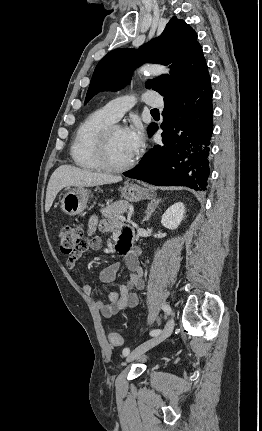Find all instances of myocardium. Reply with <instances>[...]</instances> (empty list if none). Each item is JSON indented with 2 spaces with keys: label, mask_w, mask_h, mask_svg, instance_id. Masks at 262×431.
I'll use <instances>...</instances> for the list:
<instances>
[{
  "label": "myocardium",
  "mask_w": 262,
  "mask_h": 431,
  "mask_svg": "<svg viewBox=\"0 0 262 431\" xmlns=\"http://www.w3.org/2000/svg\"><path fill=\"white\" fill-rule=\"evenodd\" d=\"M124 129L122 126L117 124H111L105 127L99 135L98 146H97V158L102 167V169L110 172H123L130 168H132L136 161L137 157L133 156L131 160L122 164V165H114L109 158V142L112 134L118 130Z\"/></svg>",
  "instance_id": "obj_1"
}]
</instances>
